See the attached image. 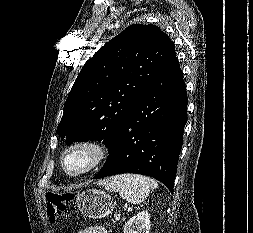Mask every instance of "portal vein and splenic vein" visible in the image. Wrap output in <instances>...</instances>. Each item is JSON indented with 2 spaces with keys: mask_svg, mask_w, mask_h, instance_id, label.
Here are the masks:
<instances>
[{
  "mask_svg": "<svg viewBox=\"0 0 253 233\" xmlns=\"http://www.w3.org/2000/svg\"><path fill=\"white\" fill-rule=\"evenodd\" d=\"M115 219H116V221H118V220H120V217H116Z\"/></svg>",
  "mask_w": 253,
  "mask_h": 233,
  "instance_id": "18ae733b",
  "label": "portal vein and splenic vein"
}]
</instances>
